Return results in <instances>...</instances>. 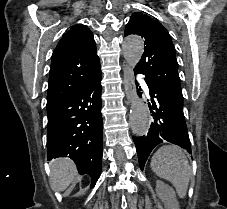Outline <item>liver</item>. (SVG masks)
Returning a JSON list of instances; mask_svg holds the SVG:
<instances>
[{
	"mask_svg": "<svg viewBox=\"0 0 227 209\" xmlns=\"http://www.w3.org/2000/svg\"><path fill=\"white\" fill-rule=\"evenodd\" d=\"M50 171V183L53 191H65L77 175L76 165L71 159L51 161Z\"/></svg>",
	"mask_w": 227,
	"mask_h": 209,
	"instance_id": "liver-1",
	"label": "liver"
}]
</instances>
